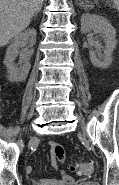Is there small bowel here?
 Here are the masks:
<instances>
[{"mask_svg":"<svg viewBox=\"0 0 119 185\" xmlns=\"http://www.w3.org/2000/svg\"><path fill=\"white\" fill-rule=\"evenodd\" d=\"M51 148V162L55 168H58L59 163L64 160L65 151L63 146L56 142L50 141L49 142ZM27 172L33 173L34 169L31 166L27 167ZM73 182V178L70 175L63 173L62 181H57L54 179H45V178H35L33 180L34 185H70Z\"/></svg>","mask_w":119,"mask_h":185,"instance_id":"1","label":"small bowel"}]
</instances>
